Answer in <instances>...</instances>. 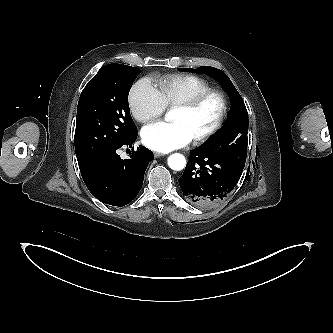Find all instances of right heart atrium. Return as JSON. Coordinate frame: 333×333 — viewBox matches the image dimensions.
<instances>
[{
  "instance_id": "1",
  "label": "right heart atrium",
  "mask_w": 333,
  "mask_h": 333,
  "mask_svg": "<svg viewBox=\"0 0 333 333\" xmlns=\"http://www.w3.org/2000/svg\"><path fill=\"white\" fill-rule=\"evenodd\" d=\"M128 104L133 118L140 123L158 118L166 109L158 89L148 79H141L133 85Z\"/></svg>"
}]
</instances>
